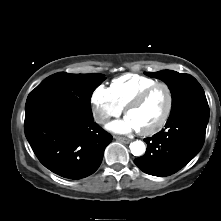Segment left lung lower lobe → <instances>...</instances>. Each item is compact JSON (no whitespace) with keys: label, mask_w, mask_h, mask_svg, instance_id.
Returning <instances> with one entry per match:
<instances>
[{"label":"left lung lower lobe","mask_w":221,"mask_h":221,"mask_svg":"<svg viewBox=\"0 0 221 221\" xmlns=\"http://www.w3.org/2000/svg\"><path fill=\"white\" fill-rule=\"evenodd\" d=\"M209 106L205 96L190 99L171 111L165 129L146 138L147 151L134 160L145 173L165 177L176 173L201 150Z\"/></svg>","instance_id":"obj_1"}]
</instances>
